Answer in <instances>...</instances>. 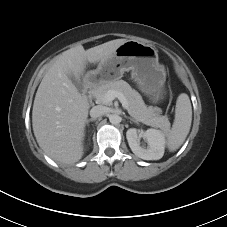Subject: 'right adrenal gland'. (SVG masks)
Segmentation results:
<instances>
[{
	"label": "right adrenal gland",
	"instance_id": "1",
	"mask_svg": "<svg viewBox=\"0 0 227 227\" xmlns=\"http://www.w3.org/2000/svg\"><path fill=\"white\" fill-rule=\"evenodd\" d=\"M95 120H96V119H94V118L88 119V120L86 121V124L88 125L89 122H92V121H95Z\"/></svg>",
	"mask_w": 227,
	"mask_h": 227
}]
</instances>
